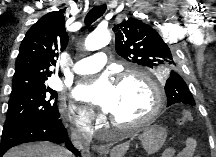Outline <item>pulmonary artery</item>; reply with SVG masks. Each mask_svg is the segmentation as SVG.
Segmentation results:
<instances>
[{"label": "pulmonary artery", "instance_id": "pulmonary-artery-1", "mask_svg": "<svg viewBox=\"0 0 216 157\" xmlns=\"http://www.w3.org/2000/svg\"><path fill=\"white\" fill-rule=\"evenodd\" d=\"M106 62L107 55L104 52H98L76 62L73 70L77 74L96 73L105 66Z\"/></svg>", "mask_w": 216, "mask_h": 157}]
</instances>
